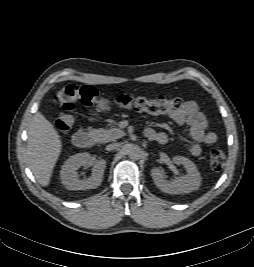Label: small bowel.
I'll list each match as a JSON object with an SVG mask.
<instances>
[{"label": "small bowel", "instance_id": "c3829d8e", "mask_svg": "<svg viewBox=\"0 0 254 267\" xmlns=\"http://www.w3.org/2000/svg\"><path fill=\"white\" fill-rule=\"evenodd\" d=\"M169 117L177 124L189 126L192 142L188 145V151L192 156H199L202 152V146H211L216 142L217 137L215 133L208 130L206 117L199 110L196 101L189 100L182 103L169 114ZM145 135L160 144H166L169 140L167 134L157 132L152 128H147Z\"/></svg>", "mask_w": 254, "mask_h": 267}]
</instances>
